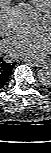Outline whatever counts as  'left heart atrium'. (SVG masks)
<instances>
[{"mask_svg": "<svg viewBox=\"0 0 51 153\" xmlns=\"http://www.w3.org/2000/svg\"><path fill=\"white\" fill-rule=\"evenodd\" d=\"M9 53L17 58L36 61L43 58L51 48V36L47 31L38 34H19L6 42Z\"/></svg>", "mask_w": 51, "mask_h": 153, "instance_id": "left-heart-atrium-1", "label": "left heart atrium"}]
</instances>
